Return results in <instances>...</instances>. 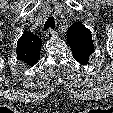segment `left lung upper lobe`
<instances>
[{"instance_id": "left-lung-upper-lobe-1", "label": "left lung upper lobe", "mask_w": 113, "mask_h": 113, "mask_svg": "<svg viewBox=\"0 0 113 113\" xmlns=\"http://www.w3.org/2000/svg\"><path fill=\"white\" fill-rule=\"evenodd\" d=\"M67 42L76 61L86 65L94 52L91 31L82 23L76 22L68 28Z\"/></svg>"}]
</instances>
